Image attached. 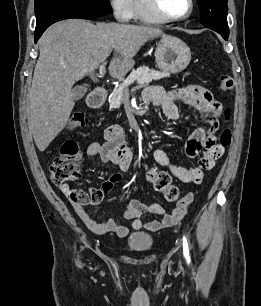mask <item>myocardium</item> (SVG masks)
Here are the masks:
<instances>
[{"mask_svg":"<svg viewBox=\"0 0 261 306\" xmlns=\"http://www.w3.org/2000/svg\"><path fill=\"white\" fill-rule=\"evenodd\" d=\"M189 1V9L186 14L177 17L167 16L161 9L158 0H144L145 7L147 10L156 18L161 20L162 22H179L189 18L194 10L195 2L194 0Z\"/></svg>","mask_w":261,"mask_h":306,"instance_id":"obj_1","label":"myocardium"}]
</instances>
